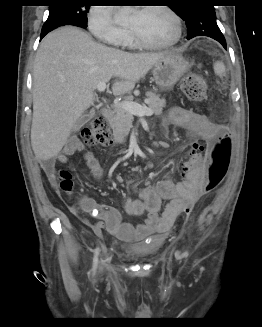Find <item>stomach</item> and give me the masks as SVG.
I'll use <instances>...</instances> for the list:
<instances>
[{"instance_id":"stomach-1","label":"stomach","mask_w":262,"mask_h":327,"mask_svg":"<svg viewBox=\"0 0 262 327\" xmlns=\"http://www.w3.org/2000/svg\"><path fill=\"white\" fill-rule=\"evenodd\" d=\"M189 69V63L180 54H169L154 65L153 77L161 90H171Z\"/></svg>"}]
</instances>
